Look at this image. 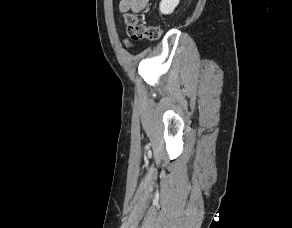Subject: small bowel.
Instances as JSON below:
<instances>
[{"mask_svg": "<svg viewBox=\"0 0 292 228\" xmlns=\"http://www.w3.org/2000/svg\"><path fill=\"white\" fill-rule=\"evenodd\" d=\"M149 0H120L119 10L120 12L134 11L140 12L143 10ZM126 45H130L129 41H125Z\"/></svg>", "mask_w": 292, "mask_h": 228, "instance_id": "obj_1", "label": "small bowel"}]
</instances>
